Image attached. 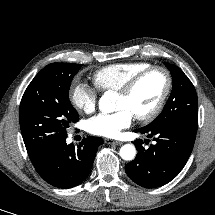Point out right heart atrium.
<instances>
[{
	"mask_svg": "<svg viewBox=\"0 0 215 215\" xmlns=\"http://www.w3.org/2000/svg\"><path fill=\"white\" fill-rule=\"evenodd\" d=\"M97 89L87 82H74L69 97L72 105L80 112L92 113L97 104Z\"/></svg>",
	"mask_w": 215,
	"mask_h": 215,
	"instance_id": "d8ad5b80",
	"label": "right heart atrium"
}]
</instances>
